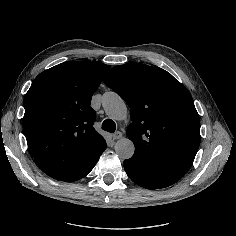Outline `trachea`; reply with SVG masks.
<instances>
[{"mask_svg": "<svg viewBox=\"0 0 236 236\" xmlns=\"http://www.w3.org/2000/svg\"><path fill=\"white\" fill-rule=\"evenodd\" d=\"M102 129L107 131V132H110V133H113L115 132L116 130V124L113 120L111 119H106L103 123H102Z\"/></svg>", "mask_w": 236, "mask_h": 236, "instance_id": "3493384b", "label": "trachea"}]
</instances>
